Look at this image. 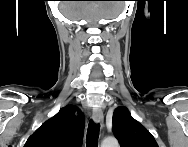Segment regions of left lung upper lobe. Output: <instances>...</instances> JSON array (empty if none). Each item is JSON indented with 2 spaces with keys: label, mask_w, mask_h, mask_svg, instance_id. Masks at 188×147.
I'll list each match as a JSON object with an SVG mask.
<instances>
[{
  "label": "left lung upper lobe",
  "mask_w": 188,
  "mask_h": 147,
  "mask_svg": "<svg viewBox=\"0 0 188 147\" xmlns=\"http://www.w3.org/2000/svg\"><path fill=\"white\" fill-rule=\"evenodd\" d=\"M113 133L121 147H158L152 134L125 107L113 113Z\"/></svg>",
  "instance_id": "left-lung-upper-lobe-1"
}]
</instances>
